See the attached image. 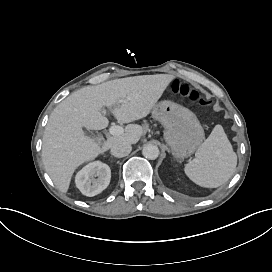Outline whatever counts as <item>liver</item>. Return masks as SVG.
<instances>
[{
	"mask_svg": "<svg viewBox=\"0 0 272 272\" xmlns=\"http://www.w3.org/2000/svg\"><path fill=\"white\" fill-rule=\"evenodd\" d=\"M174 79L167 74L115 79L84 87L59 103L45 127L42 149L45 170L56 187L67 193L75 170L107 152L113 144H137L144 130L133 123L151 113ZM119 99L124 102L117 104L114 113L119 122L127 124L124 133L108 137L101 145L83 128L107 127L108 119L100 110L115 106Z\"/></svg>",
	"mask_w": 272,
	"mask_h": 272,
	"instance_id": "1",
	"label": "liver"
}]
</instances>
